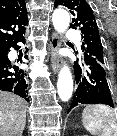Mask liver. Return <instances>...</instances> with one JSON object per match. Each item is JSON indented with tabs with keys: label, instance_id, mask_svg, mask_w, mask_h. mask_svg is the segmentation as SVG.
I'll return each mask as SVG.
<instances>
[{
	"label": "liver",
	"instance_id": "liver-1",
	"mask_svg": "<svg viewBox=\"0 0 117 136\" xmlns=\"http://www.w3.org/2000/svg\"><path fill=\"white\" fill-rule=\"evenodd\" d=\"M26 101L0 91V136H22L26 124Z\"/></svg>",
	"mask_w": 117,
	"mask_h": 136
}]
</instances>
